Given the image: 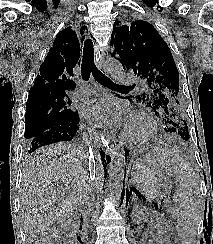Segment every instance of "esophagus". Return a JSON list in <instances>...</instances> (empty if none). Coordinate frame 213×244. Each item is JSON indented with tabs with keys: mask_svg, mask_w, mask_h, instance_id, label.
<instances>
[{
	"mask_svg": "<svg viewBox=\"0 0 213 244\" xmlns=\"http://www.w3.org/2000/svg\"><path fill=\"white\" fill-rule=\"evenodd\" d=\"M103 63H104V58L102 55H101V57H96V65H97L98 69L101 71H105ZM102 142H103L104 146L108 149L110 154L113 152L115 146H117V143H116L117 141H116L115 135L108 134L107 132L104 133Z\"/></svg>",
	"mask_w": 213,
	"mask_h": 244,
	"instance_id": "obj_1",
	"label": "esophagus"
}]
</instances>
